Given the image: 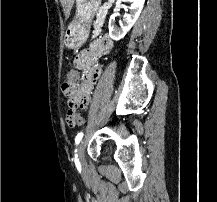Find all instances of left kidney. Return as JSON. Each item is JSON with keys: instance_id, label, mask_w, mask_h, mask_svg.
<instances>
[{"instance_id": "5707ae66", "label": "left kidney", "mask_w": 217, "mask_h": 202, "mask_svg": "<svg viewBox=\"0 0 217 202\" xmlns=\"http://www.w3.org/2000/svg\"><path fill=\"white\" fill-rule=\"evenodd\" d=\"M120 2L121 0H118L114 14H118V12H120L119 8H122V6H120ZM144 2L145 0H134L133 4L130 6L129 14H124L123 16V22L120 24L121 28L114 26L113 18H110L108 28L109 36L112 40H116V42H118V40H122V38L126 36L127 32H129L132 26H134L137 18H139L143 10Z\"/></svg>"}]
</instances>
